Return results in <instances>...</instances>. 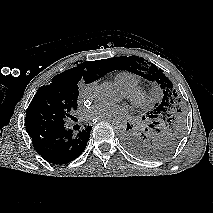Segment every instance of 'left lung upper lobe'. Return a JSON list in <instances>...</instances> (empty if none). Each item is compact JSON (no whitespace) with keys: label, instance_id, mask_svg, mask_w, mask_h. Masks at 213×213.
Listing matches in <instances>:
<instances>
[{"label":"left lung upper lobe","instance_id":"5c2ea615","mask_svg":"<svg viewBox=\"0 0 213 213\" xmlns=\"http://www.w3.org/2000/svg\"><path fill=\"white\" fill-rule=\"evenodd\" d=\"M109 71L124 69L156 82L163 91V99L155 105L145 126L130 129L124 144L133 154L145 159H160L170 154L181 140L185 129V114L181 99L172 82L161 69L147 64L137 56H121L105 60Z\"/></svg>","mask_w":213,"mask_h":213}]
</instances>
